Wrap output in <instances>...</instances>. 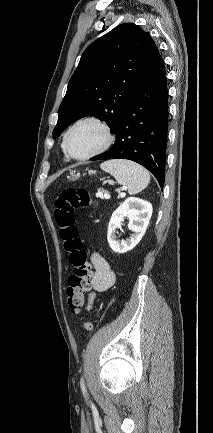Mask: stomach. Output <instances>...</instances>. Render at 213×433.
Returning a JSON list of instances; mask_svg holds the SVG:
<instances>
[{
    "label": "stomach",
    "mask_w": 213,
    "mask_h": 433,
    "mask_svg": "<svg viewBox=\"0 0 213 433\" xmlns=\"http://www.w3.org/2000/svg\"><path fill=\"white\" fill-rule=\"evenodd\" d=\"M69 178H71V177H69ZM76 178H77V175L73 174L72 179H76Z\"/></svg>",
    "instance_id": "stomach-1"
}]
</instances>
